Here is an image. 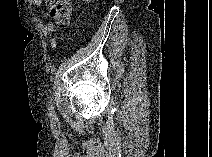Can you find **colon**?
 Listing matches in <instances>:
<instances>
[{"label":"colon","mask_w":212,"mask_h":157,"mask_svg":"<svg viewBox=\"0 0 212 157\" xmlns=\"http://www.w3.org/2000/svg\"><path fill=\"white\" fill-rule=\"evenodd\" d=\"M48 6L55 23L62 29L66 28L70 21L71 3L66 0H50Z\"/></svg>","instance_id":"obj_1"}]
</instances>
